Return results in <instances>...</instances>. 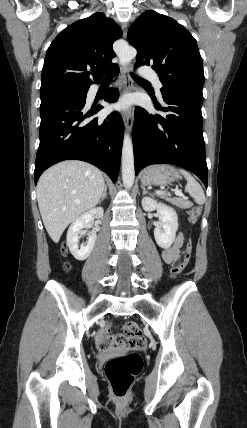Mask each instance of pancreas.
I'll return each mask as SVG.
<instances>
[{
	"label": "pancreas",
	"instance_id": "1",
	"mask_svg": "<svg viewBox=\"0 0 247 428\" xmlns=\"http://www.w3.org/2000/svg\"><path fill=\"white\" fill-rule=\"evenodd\" d=\"M166 201L170 202L171 204L181 208V209H187L192 206V203L190 201H187L182 198H165Z\"/></svg>",
	"mask_w": 247,
	"mask_h": 428
}]
</instances>
